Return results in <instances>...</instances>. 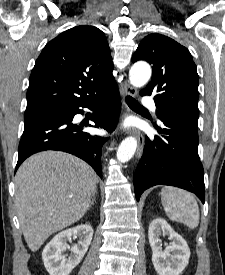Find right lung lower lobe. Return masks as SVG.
Listing matches in <instances>:
<instances>
[{
  "instance_id": "right-lung-lower-lobe-1",
  "label": "right lung lower lobe",
  "mask_w": 225,
  "mask_h": 275,
  "mask_svg": "<svg viewBox=\"0 0 225 275\" xmlns=\"http://www.w3.org/2000/svg\"><path fill=\"white\" fill-rule=\"evenodd\" d=\"M98 105H102L103 108L91 119L95 127L113 131L121 110L117 86L87 103L63 105L25 114L24 132L19 143L16 170L26 158L34 153L57 150L80 157L102 177L101 149L105 139L83 132L82 126L84 125L72 123L76 114L84 113L80 107L94 109Z\"/></svg>"
}]
</instances>
